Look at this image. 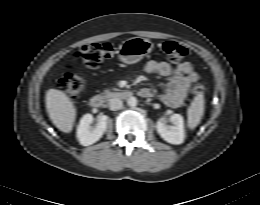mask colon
I'll list each match as a JSON object with an SVG mask.
<instances>
[{
    "label": "colon",
    "mask_w": 260,
    "mask_h": 205,
    "mask_svg": "<svg viewBox=\"0 0 260 205\" xmlns=\"http://www.w3.org/2000/svg\"><path fill=\"white\" fill-rule=\"evenodd\" d=\"M163 51L167 58L178 63L187 55V49L174 41H166L163 44ZM112 56V47L107 42H95L84 45L74 52V59L81 61L89 68H97ZM67 71L58 81V87L72 98H77L83 89V75L72 71V66H67ZM191 92L194 95L204 96L207 93V87L203 82H194L191 84Z\"/></svg>",
    "instance_id": "5ec220e1"
}]
</instances>
